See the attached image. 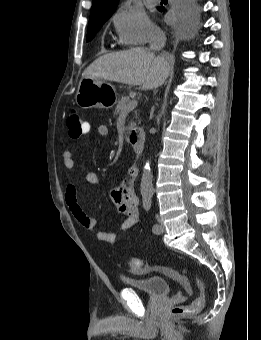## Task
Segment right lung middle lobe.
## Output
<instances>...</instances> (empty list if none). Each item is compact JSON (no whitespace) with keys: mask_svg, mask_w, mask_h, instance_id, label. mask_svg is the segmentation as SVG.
<instances>
[{"mask_svg":"<svg viewBox=\"0 0 261 340\" xmlns=\"http://www.w3.org/2000/svg\"><path fill=\"white\" fill-rule=\"evenodd\" d=\"M183 24L187 29H194L199 22V7L196 0H182L179 8ZM110 17L96 20L88 25L87 41L94 38L96 33L101 29L103 24Z\"/></svg>","mask_w":261,"mask_h":340,"instance_id":"obj_1","label":"right lung middle lobe"}]
</instances>
